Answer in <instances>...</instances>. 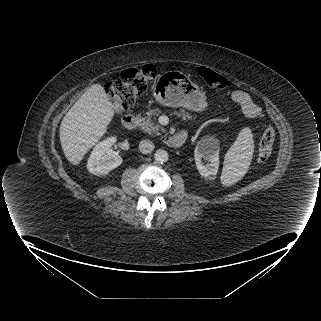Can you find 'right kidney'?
Segmentation results:
<instances>
[{"label": "right kidney", "mask_w": 321, "mask_h": 321, "mask_svg": "<svg viewBox=\"0 0 321 321\" xmlns=\"http://www.w3.org/2000/svg\"><path fill=\"white\" fill-rule=\"evenodd\" d=\"M116 142V137H108L98 143L87 162V169L94 175H104L117 168L122 163L119 154L111 149Z\"/></svg>", "instance_id": "right-kidney-1"}]
</instances>
